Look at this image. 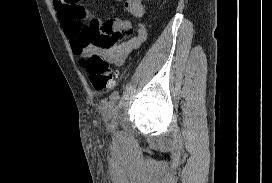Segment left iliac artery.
<instances>
[{
	"label": "left iliac artery",
	"mask_w": 272,
	"mask_h": 183,
	"mask_svg": "<svg viewBox=\"0 0 272 183\" xmlns=\"http://www.w3.org/2000/svg\"><path fill=\"white\" fill-rule=\"evenodd\" d=\"M119 97H120V96H119V92H114V93L111 95L110 99H111L112 102H114V101L118 100Z\"/></svg>",
	"instance_id": "obj_1"
}]
</instances>
